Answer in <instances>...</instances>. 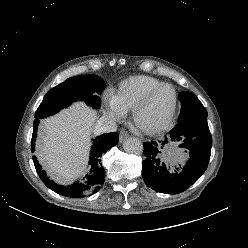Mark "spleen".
I'll return each instance as SVG.
<instances>
[{
	"instance_id": "3e777b00",
	"label": "spleen",
	"mask_w": 248,
	"mask_h": 248,
	"mask_svg": "<svg viewBox=\"0 0 248 248\" xmlns=\"http://www.w3.org/2000/svg\"><path fill=\"white\" fill-rule=\"evenodd\" d=\"M170 157H173L174 161H181L183 156L182 153L179 151L168 150L164 154V160L167 161L168 159H171Z\"/></svg>"
}]
</instances>
